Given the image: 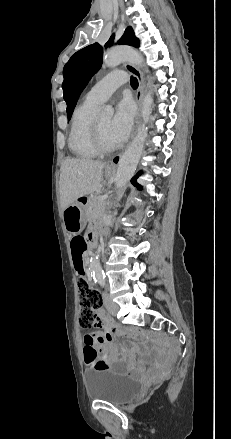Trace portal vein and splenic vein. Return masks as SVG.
I'll list each match as a JSON object with an SVG mask.
<instances>
[{
	"label": "portal vein and splenic vein",
	"mask_w": 231,
	"mask_h": 439,
	"mask_svg": "<svg viewBox=\"0 0 231 439\" xmlns=\"http://www.w3.org/2000/svg\"><path fill=\"white\" fill-rule=\"evenodd\" d=\"M107 198V195H104L101 197V200H105Z\"/></svg>",
	"instance_id": "1"
}]
</instances>
